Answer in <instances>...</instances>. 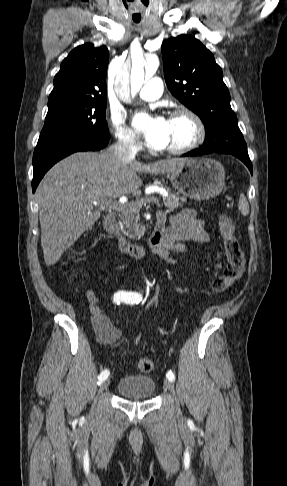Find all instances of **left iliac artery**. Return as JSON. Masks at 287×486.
Listing matches in <instances>:
<instances>
[{
    "instance_id": "44dca946",
    "label": "left iliac artery",
    "mask_w": 287,
    "mask_h": 486,
    "mask_svg": "<svg viewBox=\"0 0 287 486\" xmlns=\"http://www.w3.org/2000/svg\"><path fill=\"white\" fill-rule=\"evenodd\" d=\"M139 298L135 297L134 299H130L127 301L128 304H137L139 303ZM166 377L170 382H173L175 380V374L170 370L167 372Z\"/></svg>"
}]
</instances>
